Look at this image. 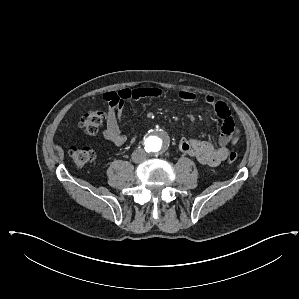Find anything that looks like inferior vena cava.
Masks as SVG:
<instances>
[{
    "instance_id": "1",
    "label": "inferior vena cava",
    "mask_w": 299,
    "mask_h": 299,
    "mask_svg": "<svg viewBox=\"0 0 299 299\" xmlns=\"http://www.w3.org/2000/svg\"><path fill=\"white\" fill-rule=\"evenodd\" d=\"M132 160L135 163H142L146 160V153L143 149H136L132 153Z\"/></svg>"
}]
</instances>
